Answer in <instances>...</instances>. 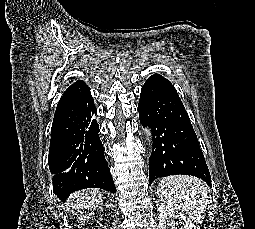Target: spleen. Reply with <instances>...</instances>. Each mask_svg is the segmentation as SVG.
Here are the masks:
<instances>
[{
	"instance_id": "1",
	"label": "spleen",
	"mask_w": 255,
	"mask_h": 229,
	"mask_svg": "<svg viewBox=\"0 0 255 229\" xmlns=\"http://www.w3.org/2000/svg\"><path fill=\"white\" fill-rule=\"evenodd\" d=\"M162 201L188 214L199 223L208 204V189L199 178L174 175L162 178L157 188Z\"/></svg>"
}]
</instances>
